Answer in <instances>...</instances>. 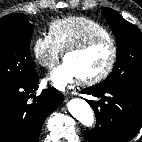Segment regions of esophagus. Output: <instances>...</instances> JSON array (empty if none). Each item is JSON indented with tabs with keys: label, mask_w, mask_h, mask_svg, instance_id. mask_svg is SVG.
Instances as JSON below:
<instances>
[{
	"label": "esophagus",
	"mask_w": 142,
	"mask_h": 142,
	"mask_svg": "<svg viewBox=\"0 0 142 142\" xmlns=\"http://www.w3.org/2000/svg\"><path fill=\"white\" fill-rule=\"evenodd\" d=\"M63 97H64L65 101H67L71 98V95L69 93H63Z\"/></svg>",
	"instance_id": "esophagus-1"
}]
</instances>
